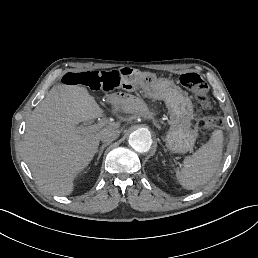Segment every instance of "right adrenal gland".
Here are the masks:
<instances>
[{"mask_svg":"<svg viewBox=\"0 0 258 258\" xmlns=\"http://www.w3.org/2000/svg\"><path fill=\"white\" fill-rule=\"evenodd\" d=\"M109 145V143L103 144L100 149H97L95 153H98L97 161L100 159L104 149Z\"/></svg>","mask_w":258,"mask_h":258,"instance_id":"1","label":"right adrenal gland"}]
</instances>
